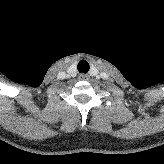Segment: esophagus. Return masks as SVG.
Wrapping results in <instances>:
<instances>
[{
  "instance_id": "esophagus-1",
  "label": "esophagus",
  "mask_w": 164,
  "mask_h": 164,
  "mask_svg": "<svg viewBox=\"0 0 164 164\" xmlns=\"http://www.w3.org/2000/svg\"><path fill=\"white\" fill-rule=\"evenodd\" d=\"M79 79L80 80H88L89 79V75L82 73V74L79 75Z\"/></svg>"
}]
</instances>
